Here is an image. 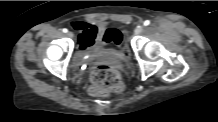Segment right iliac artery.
<instances>
[{
  "mask_svg": "<svg viewBox=\"0 0 218 122\" xmlns=\"http://www.w3.org/2000/svg\"><path fill=\"white\" fill-rule=\"evenodd\" d=\"M62 31H63L64 33H67V32H68V30H67L66 28H64Z\"/></svg>",
  "mask_w": 218,
  "mask_h": 122,
  "instance_id": "1",
  "label": "right iliac artery"
}]
</instances>
